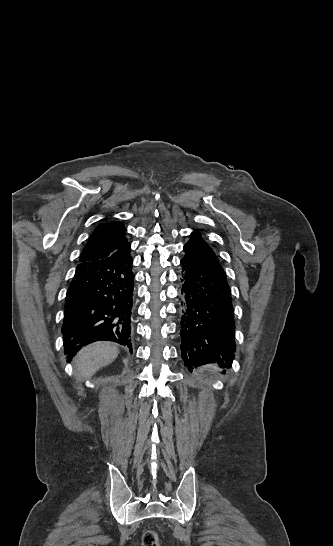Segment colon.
Returning a JSON list of instances; mask_svg holds the SVG:
<instances>
[{
  "mask_svg": "<svg viewBox=\"0 0 333 546\" xmlns=\"http://www.w3.org/2000/svg\"><path fill=\"white\" fill-rule=\"evenodd\" d=\"M144 546H156V537L153 533L148 532L143 538Z\"/></svg>",
  "mask_w": 333,
  "mask_h": 546,
  "instance_id": "5ec220e1",
  "label": "colon"
}]
</instances>
